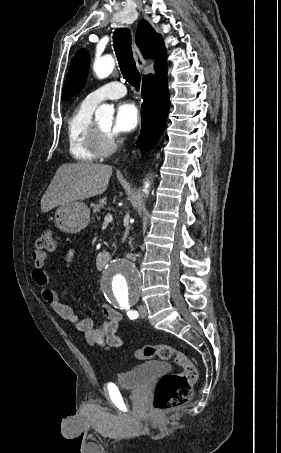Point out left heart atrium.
I'll return each instance as SVG.
<instances>
[{
	"mask_svg": "<svg viewBox=\"0 0 281 453\" xmlns=\"http://www.w3.org/2000/svg\"><path fill=\"white\" fill-rule=\"evenodd\" d=\"M140 121V113L135 104L122 101L117 109L110 133L119 134L134 130Z\"/></svg>",
	"mask_w": 281,
	"mask_h": 453,
	"instance_id": "obj_1",
	"label": "left heart atrium"
}]
</instances>
